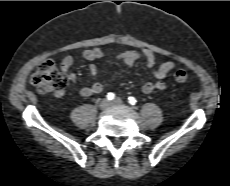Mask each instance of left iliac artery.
Returning a JSON list of instances; mask_svg holds the SVG:
<instances>
[{"mask_svg": "<svg viewBox=\"0 0 230 186\" xmlns=\"http://www.w3.org/2000/svg\"><path fill=\"white\" fill-rule=\"evenodd\" d=\"M136 99L134 97H129L128 98V103L131 104V105H135L136 104Z\"/></svg>", "mask_w": 230, "mask_h": 186, "instance_id": "44dca946", "label": "left iliac artery"}]
</instances>
